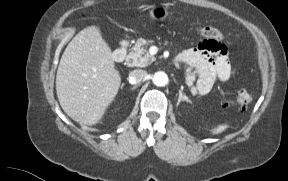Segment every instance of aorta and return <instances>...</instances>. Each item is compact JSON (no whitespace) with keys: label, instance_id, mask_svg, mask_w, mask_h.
I'll return each instance as SVG.
<instances>
[{"label":"aorta","instance_id":"1","mask_svg":"<svg viewBox=\"0 0 288 181\" xmlns=\"http://www.w3.org/2000/svg\"><path fill=\"white\" fill-rule=\"evenodd\" d=\"M152 82L156 86H164L168 82V77H167V75L164 72H156L152 76Z\"/></svg>","mask_w":288,"mask_h":181}]
</instances>
